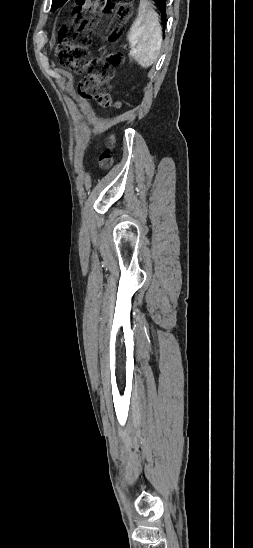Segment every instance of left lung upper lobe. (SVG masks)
Instances as JSON below:
<instances>
[{
	"instance_id": "1",
	"label": "left lung upper lobe",
	"mask_w": 253,
	"mask_h": 548,
	"mask_svg": "<svg viewBox=\"0 0 253 548\" xmlns=\"http://www.w3.org/2000/svg\"><path fill=\"white\" fill-rule=\"evenodd\" d=\"M62 0H53L52 1V9L57 5L59 4V2H61Z\"/></svg>"
}]
</instances>
